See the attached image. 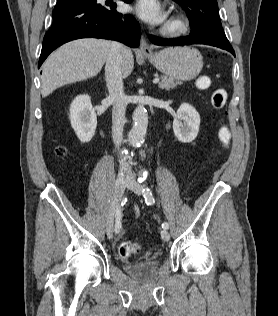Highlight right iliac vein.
I'll list each match as a JSON object with an SVG mask.
<instances>
[{"instance_id":"obj_1","label":"right iliac vein","mask_w":278,"mask_h":316,"mask_svg":"<svg viewBox=\"0 0 278 316\" xmlns=\"http://www.w3.org/2000/svg\"><path fill=\"white\" fill-rule=\"evenodd\" d=\"M126 183H127V179L125 178V175L121 174L117 177L114 184L112 207L108 215L107 224H106V233L109 239L113 237L114 214H115L116 207L118 206L121 200L122 193H123Z\"/></svg>"}]
</instances>
